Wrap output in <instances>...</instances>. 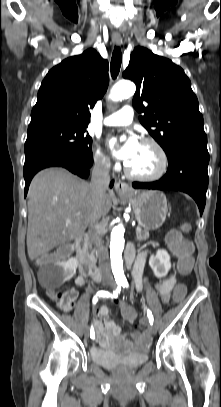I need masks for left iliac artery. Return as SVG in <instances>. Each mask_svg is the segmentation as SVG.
Wrapping results in <instances>:
<instances>
[{"label": "left iliac artery", "instance_id": "1", "mask_svg": "<svg viewBox=\"0 0 221 407\" xmlns=\"http://www.w3.org/2000/svg\"><path fill=\"white\" fill-rule=\"evenodd\" d=\"M121 284H122L123 288H128V286H129L126 279H122ZM147 317L149 319L150 324L153 325L154 319H153V315H152V312L150 309H147Z\"/></svg>", "mask_w": 221, "mask_h": 407}]
</instances>
